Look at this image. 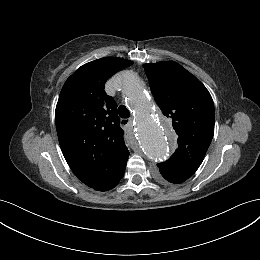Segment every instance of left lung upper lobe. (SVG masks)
I'll return each mask as SVG.
<instances>
[{"instance_id":"5c2ea615","label":"left lung upper lobe","mask_w":260,"mask_h":260,"mask_svg":"<svg viewBox=\"0 0 260 260\" xmlns=\"http://www.w3.org/2000/svg\"><path fill=\"white\" fill-rule=\"evenodd\" d=\"M152 94L178 135V147L159 163V174L190 177L201 165L214 135L215 110L206 87L174 61L144 64Z\"/></svg>"}]
</instances>
